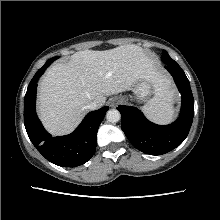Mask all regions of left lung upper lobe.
<instances>
[{"instance_id":"5c2ea615","label":"left lung upper lobe","mask_w":220,"mask_h":220,"mask_svg":"<svg viewBox=\"0 0 220 220\" xmlns=\"http://www.w3.org/2000/svg\"><path fill=\"white\" fill-rule=\"evenodd\" d=\"M162 61L166 62V61H174V60L168 55V53L165 50H163Z\"/></svg>"}]
</instances>
